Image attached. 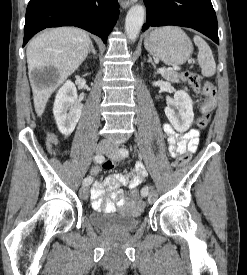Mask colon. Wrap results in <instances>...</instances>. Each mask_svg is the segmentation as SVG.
<instances>
[{
    "label": "colon",
    "instance_id": "colon-1",
    "mask_svg": "<svg viewBox=\"0 0 247 275\" xmlns=\"http://www.w3.org/2000/svg\"><path fill=\"white\" fill-rule=\"evenodd\" d=\"M181 77L197 93H200L204 96V99L200 106L201 115L199 116L196 122L197 127L199 129H204L209 125L212 112L216 107V93H217L216 87L208 81H203L201 76L194 72L184 71L181 74ZM49 142L51 143L55 142L54 137L50 136ZM190 157H191L190 153H186L177 157L173 162L174 167L175 168L183 167L188 163V161L190 160ZM103 166L106 169H112L113 163L110 161H107L104 163ZM132 197L137 201H142V198L144 197L143 189L140 190L138 187L133 188Z\"/></svg>",
    "mask_w": 247,
    "mask_h": 275
}]
</instances>
